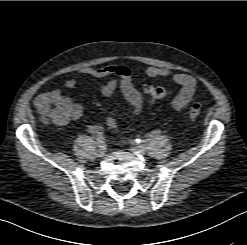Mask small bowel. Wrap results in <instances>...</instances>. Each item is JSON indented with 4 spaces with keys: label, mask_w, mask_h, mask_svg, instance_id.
<instances>
[{
    "label": "small bowel",
    "mask_w": 247,
    "mask_h": 245,
    "mask_svg": "<svg viewBox=\"0 0 247 245\" xmlns=\"http://www.w3.org/2000/svg\"><path fill=\"white\" fill-rule=\"evenodd\" d=\"M81 75L92 76L97 79L109 78L106 82L97 86V91L104 97L112 96L119 88L132 107L134 115H140L143 110V96L139 89L135 86L132 79L131 70L123 65H106L98 68L83 67L78 70ZM144 74L150 78H167L170 77L173 82L181 86L179 93L172 100V106L175 110H183L192 101L198 88L197 80L186 73H173L166 67L148 66L144 69ZM78 81L75 78H70L65 81V87L72 89L76 87ZM48 93H57L64 96L61 91L54 90ZM41 94L36 99V105L39 100L46 94ZM71 105V113L69 120L79 119L83 114V106L80 103L74 102L69 97L64 96ZM68 120V121H69ZM87 131L94 135H101L103 128L99 125H89Z\"/></svg>",
    "instance_id": "obj_1"
}]
</instances>
